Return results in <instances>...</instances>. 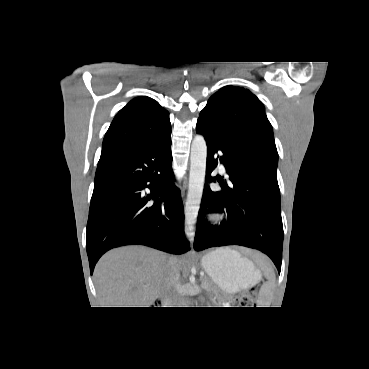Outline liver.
<instances>
[{
    "label": "liver",
    "instance_id": "1",
    "mask_svg": "<svg viewBox=\"0 0 369 369\" xmlns=\"http://www.w3.org/2000/svg\"><path fill=\"white\" fill-rule=\"evenodd\" d=\"M169 261L182 269L183 262L176 256L142 246L107 252L94 270L102 307H150L162 292Z\"/></svg>",
    "mask_w": 369,
    "mask_h": 369
}]
</instances>
